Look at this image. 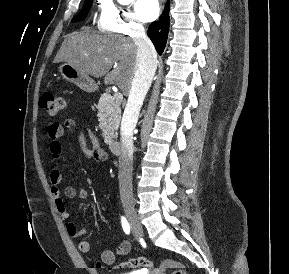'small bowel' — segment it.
<instances>
[{"label":"small bowel","mask_w":289,"mask_h":274,"mask_svg":"<svg viewBox=\"0 0 289 274\" xmlns=\"http://www.w3.org/2000/svg\"><path fill=\"white\" fill-rule=\"evenodd\" d=\"M72 129H77L80 135L83 133L82 129L79 128L78 124L74 120L54 122L48 129L49 155L51 163L49 169V180L51 183L50 191L57 212L64 220L68 219L69 217V212L67 210L64 197H78L81 200H87L89 197L88 191L84 188H76L69 185L66 186L63 191L60 189L62 174L57 160L62 153L61 138L67 130ZM84 133L88 136L92 143L91 148L85 150V155L97 161L107 160V154L101 149L93 131L90 128H85ZM65 227L67 233L73 238L81 237L87 233V229H79L73 222H66ZM130 248V242L127 239H123V241L117 247L116 252L109 249L104 250L101 254V261L106 265H112L115 262L117 255L122 256L128 254ZM78 249L82 253H89L91 251V243L88 240H82L78 244Z\"/></svg>","instance_id":"small-bowel-1"}]
</instances>
